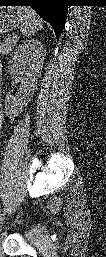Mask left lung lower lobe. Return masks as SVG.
Masks as SVG:
<instances>
[{"label": "left lung lower lobe", "instance_id": "left-lung-lower-lobe-1", "mask_svg": "<svg viewBox=\"0 0 106 257\" xmlns=\"http://www.w3.org/2000/svg\"><path fill=\"white\" fill-rule=\"evenodd\" d=\"M67 0H0V4L10 6H31L44 20L53 27L59 39L67 18Z\"/></svg>", "mask_w": 106, "mask_h": 257}]
</instances>
